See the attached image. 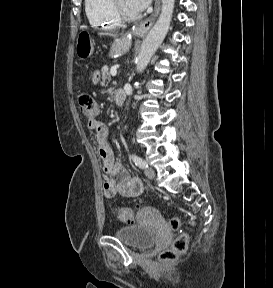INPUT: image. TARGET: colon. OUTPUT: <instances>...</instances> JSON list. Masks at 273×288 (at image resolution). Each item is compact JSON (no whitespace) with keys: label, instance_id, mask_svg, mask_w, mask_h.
Instances as JSON below:
<instances>
[{"label":"colon","instance_id":"1","mask_svg":"<svg viewBox=\"0 0 273 288\" xmlns=\"http://www.w3.org/2000/svg\"><path fill=\"white\" fill-rule=\"evenodd\" d=\"M90 39L87 34H81L78 41V54L87 58L90 54ZM78 104L81 112L88 117L89 119H96L99 115V107L95 100L86 93H80L78 96ZM116 214L120 221L126 223H132L134 221V212L125 207H116ZM169 225L172 229L176 230L180 227V219L172 218L169 222ZM188 234L182 233L180 234L173 242L172 246L163 251L160 254V259L163 262H170L174 260L178 255L182 254L188 244Z\"/></svg>","mask_w":273,"mask_h":288}]
</instances>
